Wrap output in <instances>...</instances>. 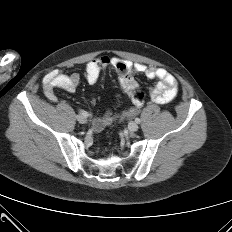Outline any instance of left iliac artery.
<instances>
[{
	"label": "left iliac artery",
	"mask_w": 232,
	"mask_h": 232,
	"mask_svg": "<svg viewBox=\"0 0 232 232\" xmlns=\"http://www.w3.org/2000/svg\"><path fill=\"white\" fill-rule=\"evenodd\" d=\"M135 122L139 124V123H140V119H139V118H136V119H135Z\"/></svg>",
	"instance_id": "obj_1"
}]
</instances>
